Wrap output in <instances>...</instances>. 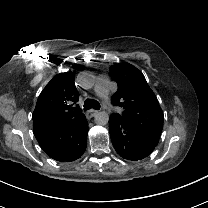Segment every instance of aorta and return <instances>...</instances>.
<instances>
[{
    "label": "aorta",
    "mask_w": 208,
    "mask_h": 208,
    "mask_svg": "<svg viewBox=\"0 0 208 208\" xmlns=\"http://www.w3.org/2000/svg\"><path fill=\"white\" fill-rule=\"evenodd\" d=\"M95 122L98 124V125H106L108 124L109 122V113L105 110H101V111H97L95 113Z\"/></svg>",
    "instance_id": "obj_1"
}]
</instances>
